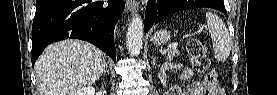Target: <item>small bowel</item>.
Listing matches in <instances>:
<instances>
[{"instance_id":"c3829d8e","label":"small bowel","mask_w":277,"mask_h":95,"mask_svg":"<svg viewBox=\"0 0 277 95\" xmlns=\"http://www.w3.org/2000/svg\"><path fill=\"white\" fill-rule=\"evenodd\" d=\"M178 77L182 81H190L195 75L189 67H184L180 70ZM166 95H223L222 89L207 81L206 77H203L201 81L196 83H187L183 87L173 86L166 90Z\"/></svg>"}]
</instances>
